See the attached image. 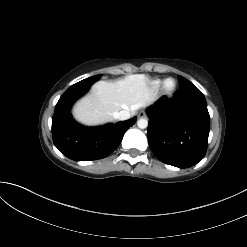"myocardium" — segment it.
Returning <instances> with one entry per match:
<instances>
[{"instance_id": "myocardium-1", "label": "myocardium", "mask_w": 247, "mask_h": 247, "mask_svg": "<svg viewBox=\"0 0 247 247\" xmlns=\"http://www.w3.org/2000/svg\"><path fill=\"white\" fill-rule=\"evenodd\" d=\"M177 83L173 78H168L163 83V90L166 94H172L176 89Z\"/></svg>"}]
</instances>
